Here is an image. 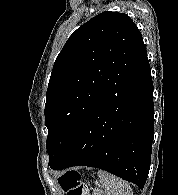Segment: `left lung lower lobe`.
Wrapping results in <instances>:
<instances>
[{"instance_id": "1", "label": "left lung lower lobe", "mask_w": 178, "mask_h": 195, "mask_svg": "<svg viewBox=\"0 0 178 195\" xmlns=\"http://www.w3.org/2000/svg\"><path fill=\"white\" fill-rule=\"evenodd\" d=\"M153 83L148 59L93 112L52 169L85 165L143 189L153 141Z\"/></svg>"}]
</instances>
